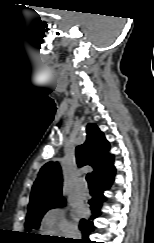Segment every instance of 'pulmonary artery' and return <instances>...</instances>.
Segmentation results:
<instances>
[{
	"mask_svg": "<svg viewBox=\"0 0 154 243\" xmlns=\"http://www.w3.org/2000/svg\"><path fill=\"white\" fill-rule=\"evenodd\" d=\"M75 194L80 198H85L88 196V189L83 184H78L75 187Z\"/></svg>",
	"mask_w": 154,
	"mask_h": 243,
	"instance_id": "obj_1",
	"label": "pulmonary artery"
}]
</instances>
